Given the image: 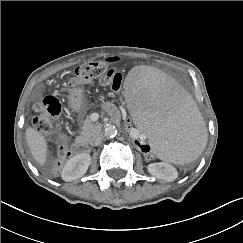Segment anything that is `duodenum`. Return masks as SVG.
I'll list each match as a JSON object with an SVG mask.
<instances>
[{"instance_id": "410a0bca", "label": "duodenum", "mask_w": 243, "mask_h": 243, "mask_svg": "<svg viewBox=\"0 0 243 243\" xmlns=\"http://www.w3.org/2000/svg\"><path fill=\"white\" fill-rule=\"evenodd\" d=\"M73 150L78 153H86L88 151V144L83 140H77L73 145Z\"/></svg>"}]
</instances>
